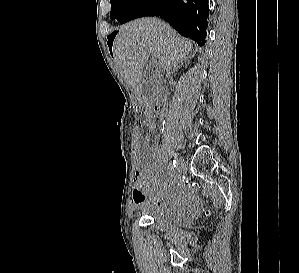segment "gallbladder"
Instances as JSON below:
<instances>
[{
    "label": "gallbladder",
    "instance_id": "1",
    "mask_svg": "<svg viewBox=\"0 0 299 273\" xmlns=\"http://www.w3.org/2000/svg\"><path fill=\"white\" fill-rule=\"evenodd\" d=\"M157 74L156 62L150 60L145 64L142 70V86L144 97L150 98L153 96Z\"/></svg>",
    "mask_w": 299,
    "mask_h": 273
}]
</instances>
